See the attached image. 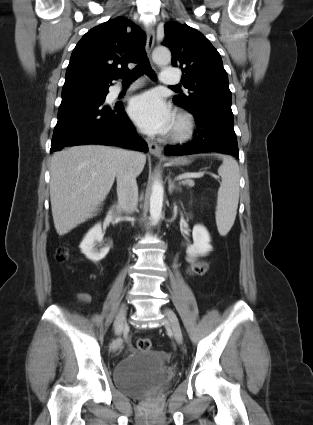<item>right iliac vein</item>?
<instances>
[{"mask_svg":"<svg viewBox=\"0 0 313 425\" xmlns=\"http://www.w3.org/2000/svg\"><path fill=\"white\" fill-rule=\"evenodd\" d=\"M126 309V304H122L114 321L115 332H120L124 327L126 321Z\"/></svg>","mask_w":313,"mask_h":425,"instance_id":"obj_1","label":"right iliac vein"}]
</instances>
